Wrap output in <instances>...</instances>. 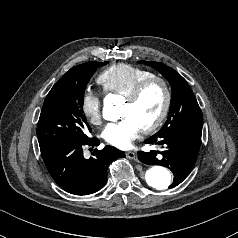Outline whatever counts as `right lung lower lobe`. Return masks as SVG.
Wrapping results in <instances>:
<instances>
[{"instance_id": "right-lung-lower-lobe-1", "label": "right lung lower lobe", "mask_w": 238, "mask_h": 238, "mask_svg": "<svg viewBox=\"0 0 238 238\" xmlns=\"http://www.w3.org/2000/svg\"><path fill=\"white\" fill-rule=\"evenodd\" d=\"M83 145L98 146L97 138L65 143L41 152L44 163L54 181L74 195H88L99 191L107 181L106 169L115 159L125 157L124 152L112 146L95 149L85 159Z\"/></svg>"}]
</instances>
